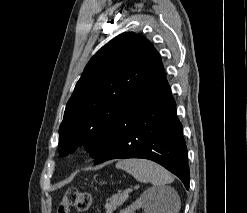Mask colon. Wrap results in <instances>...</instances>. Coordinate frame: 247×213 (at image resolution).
Wrapping results in <instances>:
<instances>
[{
    "instance_id": "1",
    "label": "colon",
    "mask_w": 247,
    "mask_h": 213,
    "mask_svg": "<svg viewBox=\"0 0 247 213\" xmlns=\"http://www.w3.org/2000/svg\"><path fill=\"white\" fill-rule=\"evenodd\" d=\"M92 205V198L89 193L70 188L60 201L57 213H71L73 209L79 212H87Z\"/></svg>"
}]
</instances>
